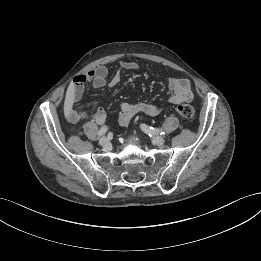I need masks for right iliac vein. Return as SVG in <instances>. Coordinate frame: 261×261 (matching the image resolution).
<instances>
[{
  "label": "right iliac vein",
  "instance_id": "63e3f726",
  "mask_svg": "<svg viewBox=\"0 0 261 261\" xmlns=\"http://www.w3.org/2000/svg\"><path fill=\"white\" fill-rule=\"evenodd\" d=\"M99 144L103 147H107L109 145V140L107 137H102L100 140H99Z\"/></svg>",
  "mask_w": 261,
  "mask_h": 261
}]
</instances>
